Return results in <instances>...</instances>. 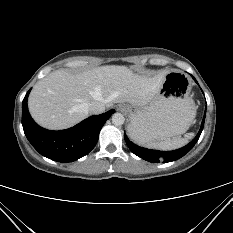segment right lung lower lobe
I'll return each mask as SVG.
<instances>
[{"instance_id":"1","label":"right lung lower lobe","mask_w":233,"mask_h":233,"mask_svg":"<svg viewBox=\"0 0 233 233\" xmlns=\"http://www.w3.org/2000/svg\"><path fill=\"white\" fill-rule=\"evenodd\" d=\"M29 92L30 90L22 103L24 133L41 155L62 163L75 161L88 154L95 147L102 126L115 112L112 109L100 115H93L72 128L50 131L40 127L31 118L27 107Z\"/></svg>"}]
</instances>
